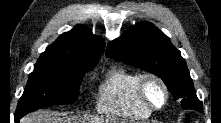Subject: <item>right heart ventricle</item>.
Returning a JSON list of instances; mask_svg holds the SVG:
<instances>
[{
    "label": "right heart ventricle",
    "instance_id": "right-heart-ventricle-1",
    "mask_svg": "<svg viewBox=\"0 0 221 123\" xmlns=\"http://www.w3.org/2000/svg\"><path fill=\"white\" fill-rule=\"evenodd\" d=\"M140 73L114 66L108 70L98 89L96 108L104 115L144 120L151 111L138 100L136 84Z\"/></svg>",
    "mask_w": 221,
    "mask_h": 123
}]
</instances>
